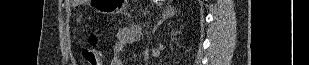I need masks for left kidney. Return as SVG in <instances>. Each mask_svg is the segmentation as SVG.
Returning <instances> with one entry per match:
<instances>
[{
	"mask_svg": "<svg viewBox=\"0 0 309 65\" xmlns=\"http://www.w3.org/2000/svg\"><path fill=\"white\" fill-rule=\"evenodd\" d=\"M176 34H177V31L175 32V31L172 30V32H171V37L173 36V38H171L172 41H174V36H175Z\"/></svg>",
	"mask_w": 309,
	"mask_h": 65,
	"instance_id": "5707ae66",
	"label": "left kidney"
}]
</instances>
